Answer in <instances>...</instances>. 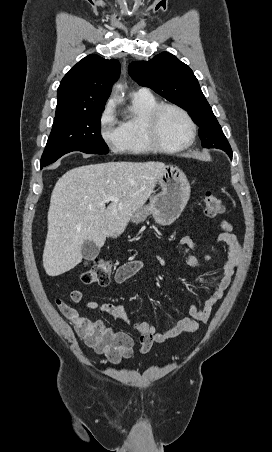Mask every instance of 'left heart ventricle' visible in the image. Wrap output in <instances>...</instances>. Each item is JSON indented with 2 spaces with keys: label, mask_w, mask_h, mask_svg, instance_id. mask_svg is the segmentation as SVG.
Returning <instances> with one entry per match:
<instances>
[{
  "label": "left heart ventricle",
  "mask_w": 272,
  "mask_h": 452,
  "mask_svg": "<svg viewBox=\"0 0 272 452\" xmlns=\"http://www.w3.org/2000/svg\"><path fill=\"white\" fill-rule=\"evenodd\" d=\"M160 140L167 146L184 143L189 136V127L185 118L175 110L166 109L158 122Z\"/></svg>",
  "instance_id": "left-heart-ventricle-1"
}]
</instances>
